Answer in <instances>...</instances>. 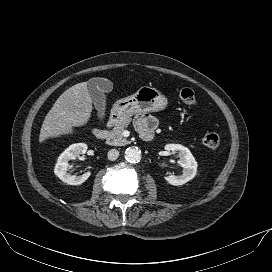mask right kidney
I'll list each match as a JSON object with an SVG mask.
<instances>
[{
    "label": "right kidney",
    "mask_w": 272,
    "mask_h": 272,
    "mask_svg": "<svg viewBox=\"0 0 272 272\" xmlns=\"http://www.w3.org/2000/svg\"><path fill=\"white\" fill-rule=\"evenodd\" d=\"M87 145L85 143H77L69 146L59 157L54 168V173L63 182L69 185H80L85 182L91 175L90 171L80 176L71 175L68 170V162L76 159L79 155L85 154Z\"/></svg>",
    "instance_id": "obj_1"
}]
</instances>
